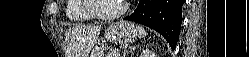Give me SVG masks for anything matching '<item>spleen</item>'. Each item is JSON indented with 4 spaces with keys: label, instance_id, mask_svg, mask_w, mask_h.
<instances>
[{
    "label": "spleen",
    "instance_id": "3e777b00",
    "mask_svg": "<svg viewBox=\"0 0 249 57\" xmlns=\"http://www.w3.org/2000/svg\"><path fill=\"white\" fill-rule=\"evenodd\" d=\"M138 36L141 37H145L147 35L146 31L144 30V28L142 26H138Z\"/></svg>",
    "mask_w": 249,
    "mask_h": 57
}]
</instances>
